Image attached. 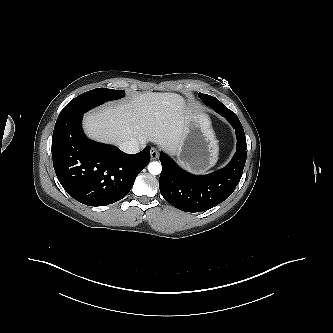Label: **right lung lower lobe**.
<instances>
[{"instance_id":"1","label":"right lung lower lobe","mask_w":333,"mask_h":333,"mask_svg":"<svg viewBox=\"0 0 333 333\" xmlns=\"http://www.w3.org/2000/svg\"><path fill=\"white\" fill-rule=\"evenodd\" d=\"M83 114L60 113L52 136L57 178L66 192L88 206H106L131 190L137 175L150 161V146L126 154L112 145L95 142L82 129Z\"/></svg>"}]
</instances>
